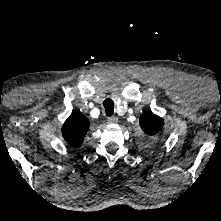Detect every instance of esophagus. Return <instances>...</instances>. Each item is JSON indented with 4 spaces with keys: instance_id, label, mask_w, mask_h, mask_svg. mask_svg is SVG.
<instances>
[{
    "instance_id": "obj_1",
    "label": "esophagus",
    "mask_w": 221,
    "mask_h": 221,
    "mask_svg": "<svg viewBox=\"0 0 221 221\" xmlns=\"http://www.w3.org/2000/svg\"><path fill=\"white\" fill-rule=\"evenodd\" d=\"M118 122V117L112 116L108 118V123L110 124H116Z\"/></svg>"
}]
</instances>
